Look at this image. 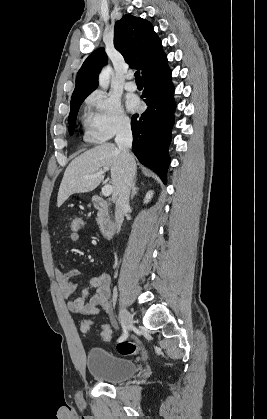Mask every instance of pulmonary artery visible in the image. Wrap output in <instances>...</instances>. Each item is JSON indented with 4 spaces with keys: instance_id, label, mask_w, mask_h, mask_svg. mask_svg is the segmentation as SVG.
<instances>
[{
    "instance_id": "1",
    "label": "pulmonary artery",
    "mask_w": 267,
    "mask_h": 419,
    "mask_svg": "<svg viewBox=\"0 0 267 419\" xmlns=\"http://www.w3.org/2000/svg\"><path fill=\"white\" fill-rule=\"evenodd\" d=\"M125 89L128 91H135L137 89L136 83L133 81V73L127 74V82L125 83Z\"/></svg>"
}]
</instances>
